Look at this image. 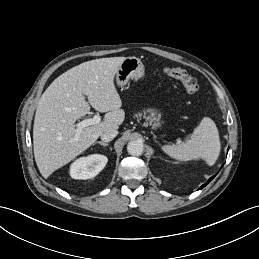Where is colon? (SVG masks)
<instances>
[{
	"label": "colon",
	"instance_id": "colon-1",
	"mask_svg": "<svg viewBox=\"0 0 259 259\" xmlns=\"http://www.w3.org/2000/svg\"><path fill=\"white\" fill-rule=\"evenodd\" d=\"M164 73L169 77L179 80L189 95L194 96L197 94L199 86L196 79L184 69L167 67L164 69Z\"/></svg>",
	"mask_w": 259,
	"mask_h": 259
}]
</instances>
